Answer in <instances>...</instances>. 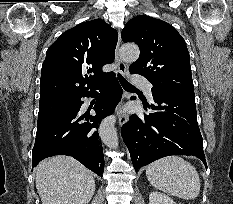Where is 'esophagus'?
<instances>
[{
	"label": "esophagus",
	"mask_w": 233,
	"mask_h": 204,
	"mask_svg": "<svg viewBox=\"0 0 233 204\" xmlns=\"http://www.w3.org/2000/svg\"><path fill=\"white\" fill-rule=\"evenodd\" d=\"M120 44H121V33H120V30H118V42H117L116 49H115V61L117 63L119 72L123 76H126L127 75V65L124 63V61L120 57ZM123 103H124V99L122 101V104ZM118 114H119V125L122 126L128 121L129 116L122 109L119 111Z\"/></svg>",
	"instance_id": "34e87169"
}]
</instances>
